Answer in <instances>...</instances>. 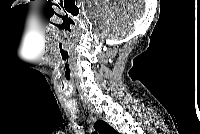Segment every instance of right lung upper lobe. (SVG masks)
<instances>
[{
  "mask_svg": "<svg viewBox=\"0 0 200 134\" xmlns=\"http://www.w3.org/2000/svg\"><path fill=\"white\" fill-rule=\"evenodd\" d=\"M95 127L101 134H115L116 131L104 121H97Z\"/></svg>",
  "mask_w": 200,
  "mask_h": 134,
  "instance_id": "cb5924a9",
  "label": "right lung upper lobe"
}]
</instances>
